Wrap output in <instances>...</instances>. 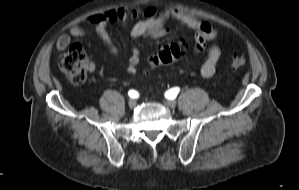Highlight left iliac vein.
<instances>
[{
  "mask_svg": "<svg viewBox=\"0 0 299 190\" xmlns=\"http://www.w3.org/2000/svg\"><path fill=\"white\" fill-rule=\"evenodd\" d=\"M164 105H166L167 107L174 109L177 105V103L174 100H167L164 102Z\"/></svg>",
  "mask_w": 299,
  "mask_h": 190,
  "instance_id": "left-iliac-vein-1",
  "label": "left iliac vein"
}]
</instances>
